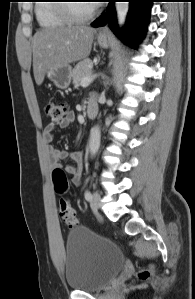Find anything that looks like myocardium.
Listing matches in <instances>:
<instances>
[{"instance_id":"myocardium-1","label":"myocardium","mask_w":195,"mask_h":299,"mask_svg":"<svg viewBox=\"0 0 195 299\" xmlns=\"http://www.w3.org/2000/svg\"><path fill=\"white\" fill-rule=\"evenodd\" d=\"M67 2V1H64ZM59 10L65 17L72 23H84L92 19L97 12V9L94 5H92L91 11L86 14H78L73 10V3H62L59 4Z\"/></svg>"}]
</instances>
